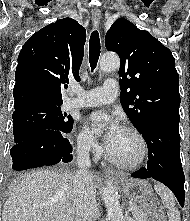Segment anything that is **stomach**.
Listing matches in <instances>:
<instances>
[{
    "mask_svg": "<svg viewBox=\"0 0 190 221\" xmlns=\"http://www.w3.org/2000/svg\"><path fill=\"white\" fill-rule=\"evenodd\" d=\"M118 184L127 198L140 205L149 221H164L159 201L147 180L120 177Z\"/></svg>",
    "mask_w": 190,
    "mask_h": 221,
    "instance_id": "obj_1",
    "label": "stomach"
}]
</instances>
